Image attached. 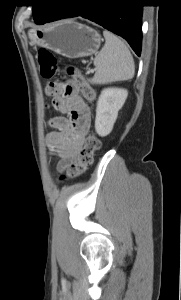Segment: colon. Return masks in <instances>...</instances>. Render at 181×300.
Masks as SVG:
<instances>
[{
    "instance_id": "obj_1",
    "label": "colon",
    "mask_w": 181,
    "mask_h": 300,
    "mask_svg": "<svg viewBox=\"0 0 181 300\" xmlns=\"http://www.w3.org/2000/svg\"><path fill=\"white\" fill-rule=\"evenodd\" d=\"M38 62L42 77L48 80L45 87V94L48 97H54L63 92L68 93L72 90L69 88L70 83L59 77V62L52 52L46 49L39 50ZM66 72L73 78L71 83L74 86V90L80 92L88 102H92L95 99V91L87 84L82 71L74 66H68ZM99 148V139L96 135L90 134L86 138L77 160L66 167L65 172L61 175L60 179H72L82 175L92 164L94 154Z\"/></svg>"
}]
</instances>
